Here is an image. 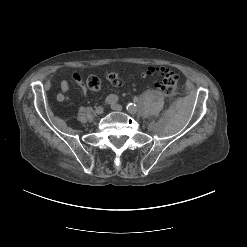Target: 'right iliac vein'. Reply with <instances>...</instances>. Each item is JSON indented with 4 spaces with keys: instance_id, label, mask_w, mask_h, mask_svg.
<instances>
[{
    "instance_id": "1",
    "label": "right iliac vein",
    "mask_w": 247,
    "mask_h": 247,
    "mask_svg": "<svg viewBox=\"0 0 247 247\" xmlns=\"http://www.w3.org/2000/svg\"><path fill=\"white\" fill-rule=\"evenodd\" d=\"M104 112V108L102 106H98L95 109V114L101 115Z\"/></svg>"
}]
</instances>
